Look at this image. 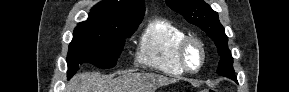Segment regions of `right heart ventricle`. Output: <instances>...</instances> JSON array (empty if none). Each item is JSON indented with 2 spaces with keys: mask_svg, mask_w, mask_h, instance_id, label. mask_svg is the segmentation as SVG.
Returning <instances> with one entry per match:
<instances>
[{
  "mask_svg": "<svg viewBox=\"0 0 289 92\" xmlns=\"http://www.w3.org/2000/svg\"><path fill=\"white\" fill-rule=\"evenodd\" d=\"M186 36L182 28L169 20H152L141 35L137 51L138 62L168 75L184 74L185 70L178 58V48Z\"/></svg>",
  "mask_w": 289,
  "mask_h": 92,
  "instance_id": "obj_1",
  "label": "right heart ventricle"
}]
</instances>
